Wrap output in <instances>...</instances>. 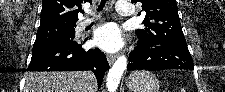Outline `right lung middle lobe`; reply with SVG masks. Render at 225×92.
<instances>
[{"label": "right lung middle lobe", "instance_id": "1", "mask_svg": "<svg viewBox=\"0 0 225 92\" xmlns=\"http://www.w3.org/2000/svg\"><path fill=\"white\" fill-rule=\"evenodd\" d=\"M75 26L69 24L39 26L33 47H39L48 43L71 41L75 37Z\"/></svg>", "mask_w": 225, "mask_h": 92}]
</instances>
